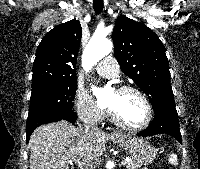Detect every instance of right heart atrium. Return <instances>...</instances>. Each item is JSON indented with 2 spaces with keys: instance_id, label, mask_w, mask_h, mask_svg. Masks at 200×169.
<instances>
[{
  "instance_id": "d8ad5b80",
  "label": "right heart atrium",
  "mask_w": 200,
  "mask_h": 169,
  "mask_svg": "<svg viewBox=\"0 0 200 169\" xmlns=\"http://www.w3.org/2000/svg\"><path fill=\"white\" fill-rule=\"evenodd\" d=\"M74 106L78 117L88 124H100L106 119V109L84 92H77Z\"/></svg>"
}]
</instances>
